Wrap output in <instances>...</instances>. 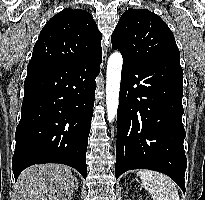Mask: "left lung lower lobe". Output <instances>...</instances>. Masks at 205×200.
I'll return each instance as SVG.
<instances>
[{
    "mask_svg": "<svg viewBox=\"0 0 205 200\" xmlns=\"http://www.w3.org/2000/svg\"><path fill=\"white\" fill-rule=\"evenodd\" d=\"M179 58L123 60L117 112L116 179L131 169L170 176L185 192L187 159Z\"/></svg>",
    "mask_w": 205,
    "mask_h": 200,
    "instance_id": "0a47b994",
    "label": "left lung lower lobe"
}]
</instances>
